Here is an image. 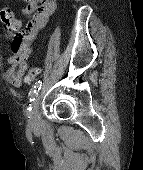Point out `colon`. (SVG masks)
Wrapping results in <instances>:
<instances>
[{
  "mask_svg": "<svg viewBox=\"0 0 143 170\" xmlns=\"http://www.w3.org/2000/svg\"><path fill=\"white\" fill-rule=\"evenodd\" d=\"M7 21L10 23V17L7 15L6 16ZM40 73V68L37 66H34L32 68L29 69L27 76H26V81L27 82H33L37 76Z\"/></svg>",
  "mask_w": 143,
  "mask_h": 170,
  "instance_id": "1",
  "label": "colon"
}]
</instances>
